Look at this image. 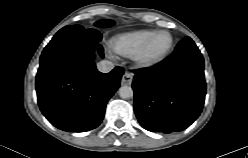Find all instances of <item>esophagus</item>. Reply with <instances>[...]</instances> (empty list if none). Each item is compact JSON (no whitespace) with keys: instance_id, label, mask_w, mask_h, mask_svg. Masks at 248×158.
Listing matches in <instances>:
<instances>
[{"instance_id":"esophagus-1","label":"esophagus","mask_w":248,"mask_h":158,"mask_svg":"<svg viewBox=\"0 0 248 158\" xmlns=\"http://www.w3.org/2000/svg\"><path fill=\"white\" fill-rule=\"evenodd\" d=\"M133 80V74L131 72L126 71L122 76V83L125 85H130Z\"/></svg>"}]
</instances>
